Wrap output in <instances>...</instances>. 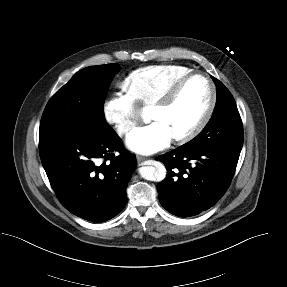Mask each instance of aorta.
Returning a JSON list of instances; mask_svg holds the SVG:
<instances>
[{"label": "aorta", "instance_id": "obj_1", "mask_svg": "<svg viewBox=\"0 0 287 287\" xmlns=\"http://www.w3.org/2000/svg\"><path fill=\"white\" fill-rule=\"evenodd\" d=\"M166 168L162 163L154 166H143L139 169V174L146 180L160 182L166 177Z\"/></svg>", "mask_w": 287, "mask_h": 287}]
</instances>
